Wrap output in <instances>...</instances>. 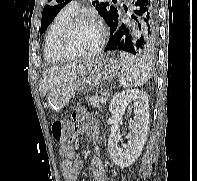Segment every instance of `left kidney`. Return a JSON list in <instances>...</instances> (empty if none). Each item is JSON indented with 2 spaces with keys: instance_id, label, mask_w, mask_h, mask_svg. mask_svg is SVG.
<instances>
[{
  "instance_id": "1",
  "label": "left kidney",
  "mask_w": 197,
  "mask_h": 181,
  "mask_svg": "<svg viewBox=\"0 0 197 181\" xmlns=\"http://www.w3.org/2000/svg\"><path fill=\"white\" fill-rule=\"evenodd\" d=\"M134 102V118L128 121L132 131L130 140L125 149L118 147L121 140L119 123H122V116L125 113L126 105ZM109 111L113 115L114 125L111 127V134L108 139V152L113 162L124 168L132 165L140 156L147 140L149 124V100L143 90L132 89L117 93L109 105Z\"/></svg>"
}]
</instances>
